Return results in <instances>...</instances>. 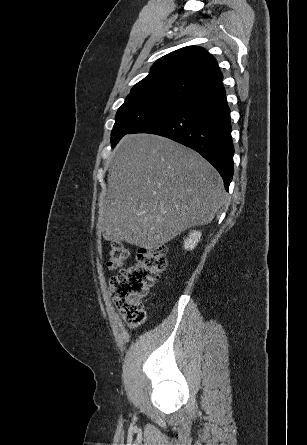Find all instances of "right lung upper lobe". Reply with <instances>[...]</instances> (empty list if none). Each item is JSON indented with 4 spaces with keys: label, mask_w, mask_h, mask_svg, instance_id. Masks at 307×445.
<instances>
[{
    "label": "right lung upper lobe",
    "mask_w": 307,
    "mask_h": 445,
    "mask_svg": "<svg viewBox=\"0 0 307 445\" xmlns=\"http://www.w3.org/2000/svg\"><path fill=\"white\" fill-rule=\"evenodd\" d=\"M222 78L212 55L203 48L188 46L157 60L128 96L163 95L186 100L221 83Z\"/></svg>",
    "instance_id": "1"
}]
</instances>
